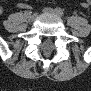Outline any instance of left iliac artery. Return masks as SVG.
I'll list each match as a JSON object with an SVG mask.
<instances>
[{"instance_id":"1","label":"left iliac artery","mask_w":91,"mask_h":91,"mask_svg":"<svg viewBox=\"0 0 91 91\" xmlns=\"http://www.w3.org/2000/svg\"><path fill=\"white\" fill-rule=\"evenodd\" d=\"M56 12L60 15V16H64V11L61 8H56Z\"/></svg>"}]
</instances>
